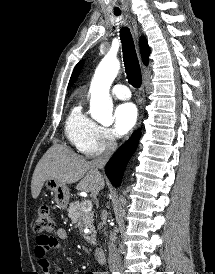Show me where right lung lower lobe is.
I'll return each mask as SVG.
<instances>
[{
  "mask_svg": "<svg viewBox=\"0 0 215 274\" xmlns=\"http://www.w3.org/2000/svg\"><path fill=\"white\" fill-rule=\"evenodd\" d=\"M139 138V131L133 133L131 138L116 151L106 165L105 173L115 187L121 183L124 169L137 148Z\"/></svg>",
  "mask_w": 215,
  "mask_h": 274,
  "instance_id": "1",
  "label": "right lung lower lobe"
}]
</instances>
